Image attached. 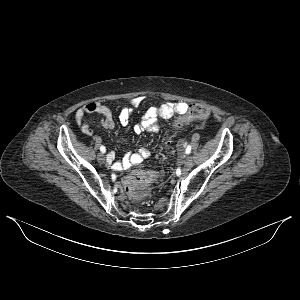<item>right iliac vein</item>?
Returning a JSON list of instances; mask_svg holds the SVG:
<instances>
[{
	"label": "right iliac vein",
	"instance_id": "obj_1",
	"mask_svg": "<svg viewBox=\"0 0 300 300\" xmlns=\"http://www.w3.org/2000/svg\"><path fill=\"white\" fill-rule=\"evenodd\" d=\"M97 160H98V162L101 163V164L105 163V157H104V155H103L102 153H99V154L97 155Z\"/></svg>",
	"mask_w": 300,
	"mask_h": 300
}]
</instances>
